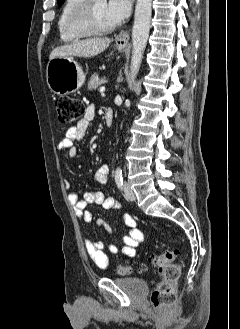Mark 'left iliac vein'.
<instances>
[{"instance_id":"4c4485c4","label":"left iliac vein","mask_w":240,"mask_h":329,"mask_svg":"<svg viewBox=\"0 0 240 329\" xmlns=\"http://www.w3.org/2000/svg\"><path fill=\"white\" fill-rule=\"evenodd\" d=\"M124 192H125V196L128 200L130 201H134L135 200V194L133 192V190L130 188L128 183H124Z\"/></svg>"}]
</instances>
